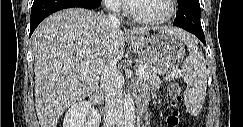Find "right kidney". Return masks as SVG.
I'll return each instance as SVG.
<instances>
[{
  "mask_svg": "<svg viewBox=\"0 0 243 127\" xmlns=\"http://www.w3.org/2000/svg\"><path fill=\"white\" fill-rule=\"evenodd\" d=\"M101 116L87 101L72 104L65 114L63 127H99Z\"/></svg>",
  "mask_w": 243,
  "mask_h": 127,
  "instance_id": "obj_1",
  "label": "right kidney"
}]
</instances>
